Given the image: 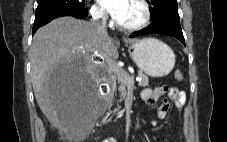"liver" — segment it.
I'll use <instances>...</instances> for the list:
<instances>
[{
  "label": "liver",
  "mask_w": 227,
  "mask_h": 142,
  "mask_svg": "<svg viewBox=\"0 0 227 142\" xmlns=\"http://www.w3.org/2000/svg\"><path fill=\"white\" fill-rule=\"evenodd\" d=\"M134 43L136 39H125ZM118 43L108 34L98 33L89 22L73 17L57 18L39 28L30 47L31 81L37 103L49 122L73 132L82 114V102L96 93L107 78L108 66L118 58ZM99 57L101 62H94ZM62 61H89L84 88H55L51 73Z\"/></svg>",
  "instance_id": "6515ba94"
}]
</instances>
